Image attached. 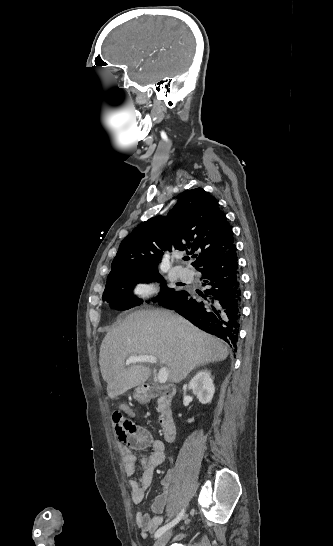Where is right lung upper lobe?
Instances as JSON below:
<instances>
[{"label": "right lung upper lobe", "instance_id": "right-lung-upper-lobe-1", "mask_svg": "<svg viewBox=\"0 0 333 546\" xmlns=\"http://www.w3.org/2000/svg\"><path fill=\"white\" fill-rule=\"evenodd\" d=\"M234 245L232 228L217 200L202 188L183 192L167 217L138 225L125 237L111 270H158L163 250L202 249L192 263L197 270L221 257Z\"/></svg>", "mask_w": 333, "mask_h": 546}]
</instances>
